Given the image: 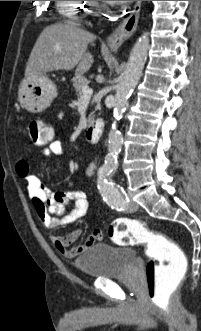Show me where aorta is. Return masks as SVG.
<instances>
[{
	"mask_svg": "<svg viewBox=\"0 0 201 331\" xmlns=\"http://www.w3.org/2000/svg\"><path fill=\"white\" fill-rule=\"evenodd\" d=\"M148 49L149 34L145 32L135 42L122 74L121 82L116 88L113 116L117 121L122 118L128 107V98L140 79L147 58ZM121 146L122 135L117 129L116 122H114L108 135V153L105 157L104 164L99 171L100 176L105 177L117 167V158L121 151Z\"/></svg>",
	"mask_w": 201,
	"mask_h": 331,
	"instance_id": "762f6f07",
	"label": "aorta"
}]
</instances>
